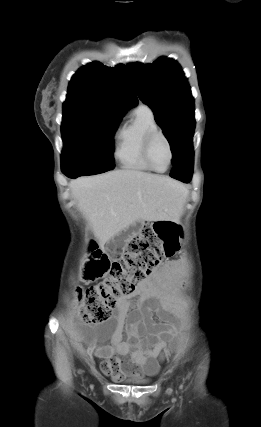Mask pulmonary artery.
<instances>
[{"label":"pulmonary artery","instance_id":"pulmonary-artery-1","mask_svg":"<svg viewBox=\"0 0 261 427\" xmlns=\"http://www.w3.org/2000/svg\"><path fill=\"white\" fill-rule=\"evenodd\" d=\"M141 106H144V107H146V108H148L147 106H145V105H141ZM149 109V108H148Z\"/></svg>","mask_w":261,"mask_h":427}]
</instances>
